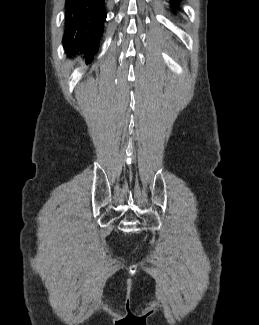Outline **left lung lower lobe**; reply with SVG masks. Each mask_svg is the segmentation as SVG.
Here are the masks:
<instances>
[{
	"instance_id": "left-lung-lower-lobe-1",
	"label": "left lung lower lobe",
	"mask_w": 259,
	"mask_h": 325,
	"mask_svg": "<svg viewBox=\"0 0 259 325\" xmlns=\"http://www.w3.org/2000/svg\"><path fill=\"white\" fill-rule=\"evenodd\" d=\"M180 0H170V5H171V11L173 12V13H176V11L177 10H179V6H178V2H179Z\"/></svg>"
}]
</instances>
